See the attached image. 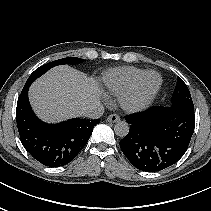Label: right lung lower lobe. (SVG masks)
<instances>
[{
	"mask_svg": "<svg viewBox=\"0 0 211 211\" xmlns=\"http://www.w3.org/2000/svg\"><path fill=\"white\" fill-rule=\"evenodd\" d=\"M24 87L17 101L16 121L20 140L26 151L38 162L49 167L70 163L88 142L96 120L69 119L47 124L37 118Z\"/></svg>",
	"mask_w": 211,
	"mask_h": 211,
	"instance_id": "obj_1",
	"label": "right lung lower lobe"
}]
</instances>
